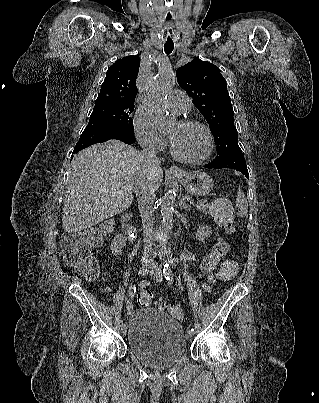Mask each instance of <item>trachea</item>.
Segmentation results:
<instances>
[{"mask_svg": "<svg viewBox=\"0 0 319 403\" xmlns=\"http://www.w3.org/2000/svg\"><path fill=\"white\" fill-rule=\"evenodd\" d=\"M174 42L170 35L167 36L166 42L164 44V50L166 54H170L173 51Z\"/></svg>", "mask_w": 319, "mask_h": 403, "instance_id": "3493384b", "label": "trachea"}]
</instances>
